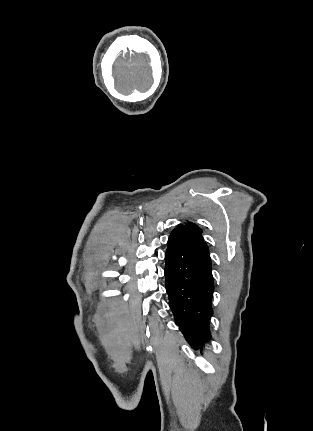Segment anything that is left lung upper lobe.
Instances as JSON below:
<instances>
[{
  "label": "left lung upper lobe",
  "mask_w": 313,
  "mask_h": 431,
  "mask_svg": "<svg viewBox=\"0 0 313 431\" xmlns=\"http://www.w3.org/2000/svg\"><path fill=\"white\" fill-rule=\"evenodd\" d=\"M184 226L187 227L188 229H190L193 233H195V234H197V235H199V236L202 237L201 231H200V229H199V227L197 225L193 224L192 222H188Z\"/></svg>",
  "instance_id": "1"
}]
</instances>
